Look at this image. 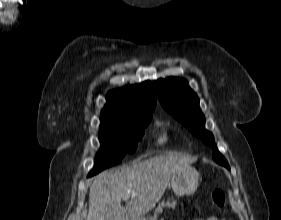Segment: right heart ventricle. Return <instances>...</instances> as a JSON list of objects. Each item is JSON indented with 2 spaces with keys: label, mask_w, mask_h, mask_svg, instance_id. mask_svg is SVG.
Wrapping results in <instances>:
<instances>
[{
  "label": "right heart ventricle",
  "mask_w": 281,
  "mask_h": 220,
  "mask_svg": "<svg viewBox=\"0 0 281 220\" xmlns=\"http://www.w3.org/2000/svg\"><path fill=\"white\" fill-rule=\"evenodd\" d=\"M166 139H167L166 135H163V136H161V137L159 138L158 142H159V143H163V142L166 141Z\"/></svg>",
  "instance_id": "obj_1"
}]
</instances>
